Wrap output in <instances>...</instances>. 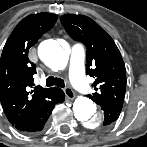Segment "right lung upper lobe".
I'll list each match as a JSON object with an SVG mask.
<instances>
[{"label": "right lung upper lobe", "instance_id": "obj_1", "mask_svg": "<svg viewBox=\"0 0 147 147\" xmlns=\"http://www.w3.org/2000/svg\"><path fill=\"white\" fill-rule=\"evenodd\" d=\"M57 16L38 13L25 17L9 36L0 58V100L13 125L33 114L52 95L53 88L33 85L36 66L28 58L29 49L50 30Z\"/></svg>", "mask_w": 147, "mask_h": 147}]
</instances>
